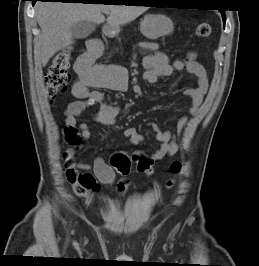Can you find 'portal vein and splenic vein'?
<instances>
[{"instance_id": "portal-vein-and-splenic-vein-1", "label": "portal vein and splenic vein", "mask_w": 259, "mask_h": 266, "mask_svg": "<svg viewBox=\"0 0 259 266\" xmlns=\"http://www.w3.org/2000/svg\"><path fill=\"white\" fill-rule=\"evenodd\" d=\"M103 13H105V14H108V13H109V11H105V12H103Z\"/></svg>"}]
</instances>
